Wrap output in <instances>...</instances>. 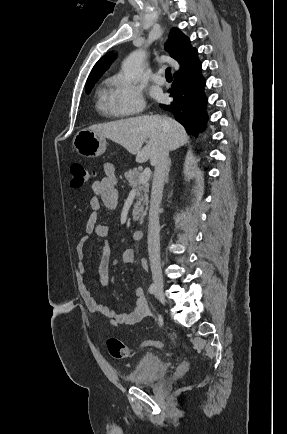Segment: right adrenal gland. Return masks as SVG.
<instances>
[{"instance_id": "obj_1", "label": "right adrenal gland", "mask_w": 287, "mask_h": 434, "mask_svg": "<svg viewBox=\"0 0 287 434\" xmlns=\"http://www.w3.org/2000/svg\"><path fill=\"white\" fill-rule=\"evenodd\" d=\"M170 166H171V159L169 158V160H168V167H167V171H166V182L168 181V175H169V171H170Z\"/></svg>"}]
</instances>
